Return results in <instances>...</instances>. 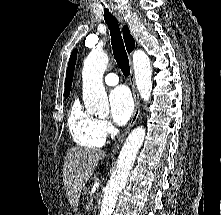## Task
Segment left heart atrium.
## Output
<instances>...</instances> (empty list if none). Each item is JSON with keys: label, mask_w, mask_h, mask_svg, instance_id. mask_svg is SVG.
I'll return each mask as SVG.
<instances>
[{"label": "left heart atrium", "mask_w": 221, "mask_h": 215, "mask_svg": "<svg viewBox=\"0 0 221 215\" xmlns=\"http://www.w3.org/2000/svg\"><path fill=\"white\" fill-rule=\"evenodd\" d=\"M112 119L118 124H125L131 117L134 110V103L130 91L119 86L113 89L109 96Z\"/></svg>", "instance_id": "1"}]
</instances>
